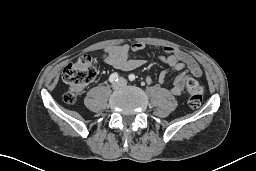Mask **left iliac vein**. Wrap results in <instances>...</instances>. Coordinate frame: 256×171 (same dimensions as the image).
Listing matches in <instances>:
<instances>
[{"label": "left iliac vein", "instance_id": "4c4485c4", "mask_svg": "<svg viewBox=\"0 0 256 171\" xmlns=\"http://www.w3.org/2000/svg\"><path fill=\"white\" fill-rule=\"evenodd\" d=\"M119 82H120L121 86H126L127 85V80L124 79V78H120Z\"/></svg>", "mask_w": 256, "mask_h": 171}]
</instances>
